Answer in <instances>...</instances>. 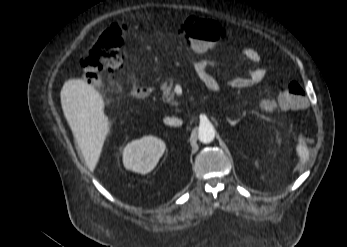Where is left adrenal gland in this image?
I'll return each instance as SVG.
<instances>
[{
	"label": "left adrenal gland",
	"mask_w": 347,
	"mask_h": 247,
	"mask_svg": "<svg viewBox=\"0 0 347 247\" xmlns=\"http://www.w3.org/2000/svg\"><path fill=\"white\" fill-rule=\"evenodd\" d=\"M226 120L230 123L231 126H235L241 120V118H238L233 121L230 118H227Z\"/></svg>",
	"instance_id": "left-adrenal-gland-1"
}]
</instances>
